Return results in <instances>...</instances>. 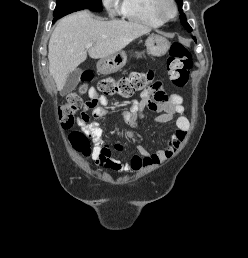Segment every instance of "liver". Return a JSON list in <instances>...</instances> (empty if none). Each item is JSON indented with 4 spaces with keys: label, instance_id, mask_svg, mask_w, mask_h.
Returning a JSON list of instances; mask_svg holds the SVG:
<instances>
[{
    "label": "liver",
    "instance_id": "6515ba94",
    "mask_svg": "<svg viewBox=\"0 0 248 258\" xmlns=\"http://www.w3.org/2000/svg\"><path fill=\"white\" fill-rule=\"evenodd\" d=\"M145 25L123 20L100 21L88 11L61 19L49 40V73L57 89H63L69 73L87 58L102 59L126 47L133 40L150 33ZM87 43L93 46L87 48Z\"/></svg>",
    "mask_w": 248,
    "mask_h": 258
}]
</instances>
